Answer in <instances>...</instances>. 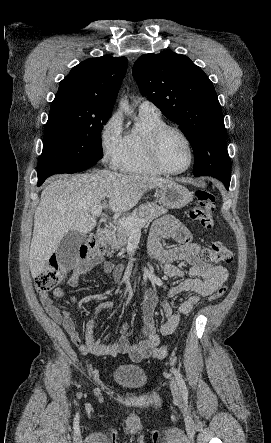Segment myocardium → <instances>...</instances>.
<instances>
[{
    "mask_svg": "<svg viewBox=\"0 0 271 443\" xmlns=\"http://www.w3.org/2000/svg\"><path fill=\"white\" fill-rule=\"evenodd\" d=\"M168 132L178 133L185 140V142L189 148V153H190L189 162L185 167H183L181 169H171V168L167 167L161 159L160 151H159L160 143H161L163 137ZM148 154H149V158H150L151 162L154 164V166L157 167L161 172L166 173V174H180V173L186 172L187 170H189L192 167L194 160H195V149H194L193 143H192L191 139L189 138V136L179 127L173 126V125H168V124H164L162 126H159L152 132V134L149 138V141H148Z\"/></svg>",
    "mask_w": 271,
    "mask_h": 443,
    "instance_id": "1",
    "label": "myocardium"
}]
</instances>
